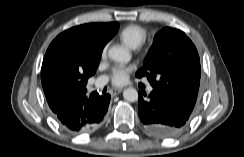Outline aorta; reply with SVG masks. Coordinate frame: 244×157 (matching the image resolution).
Wrapping results in <instances>:
<instances>
[{
  "mask_svg": "<svg viewBox=\"0 0 244 157\" xmlns=\"http://www.w3.org/2000/svg\"><path fill=\"white\" fill-rule=\"evenodd\" d=\"M109 57L116 62H128L131 58L130 53L125 48L115 45L108 51ZM123 97L128 102H135L138 100V92L135 88H127L123 91Z\"/></svg>",
  "mask_w": 244,
  "mask_h": 157,
  "instance_id": "1",
  "label": "aorta"
}]
</instances>
